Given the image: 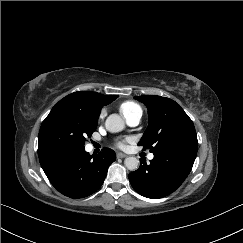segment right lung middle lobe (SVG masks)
<instances>
[{
    "instance_id": "obj_1",
    "label": "right lung middle lobe",
    "mask_w": 243,
    "mask_h": 243,
    "mask_svg": "<svg viewBox=\"0 0 243 243\" xmlns=\"http://www.w3.org/2000/svg\"><path fill=\"white\" fill-rule=\"evenodd\" d=\"M98 119L56 104L42 122L38 155L62 149H83L87 137L96 130Z\"/></svg>"
}]
</instances>
